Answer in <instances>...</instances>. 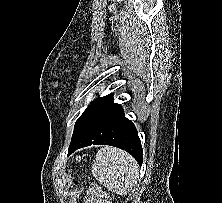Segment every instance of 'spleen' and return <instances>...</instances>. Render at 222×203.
<instances>
[{"label": "spleen", "mask_w": 222, "mask_h": 203, "mask_svg": "<svg viewBox=\"0 0 222 203\" xmlns=\"http://www.w3.org/2000/svg\"><path fill=\"white\" fill-rule=\"evenodd\" d=\"M92 174L107 189L126 194L139 179V166L135 159L123 150L104 146L96 154Z\"/></svg>", "instance_id": "spleen-1"}]
</instances>
